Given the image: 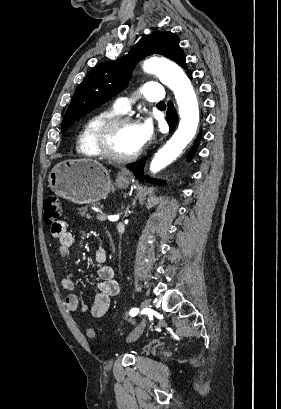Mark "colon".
Segmentation results:
<instances>
[{"label":"colon","instance_id":"obj_1","mask_svg":"<svg viewBox=\"0 0 281 409\" xmlns=\"http://www.w3.org/2000/svg\"><path fill=\"white\" fill-rule=\"evenodd\" d=\"M44 206V220L46 222H52L58 219L62 214V204L60 200L55 196H47L43 202ZM95 331L93 329L88 330V336L93 337Z\"/></svg>","mask_w":281,"mask_h":409}]
</instances>
